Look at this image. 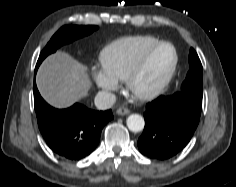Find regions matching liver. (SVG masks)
Instances as JSON below:
<instances>
[{"mask_svg":"<svg viewBox=\"0 0 236 187\" xmlns=\"http://www.w3.org/2000/svg\"><path fill=\"white\" fill-rule=\"evenodd\" d=\"M36 83L41 96L56 108H66L79 101L91 86L86 67L61 51L44 60Z\"/></svg>","mask_w":236,"mask_h":187,"instance_id":"6515ba94","label":"liver"}]
</instances>
